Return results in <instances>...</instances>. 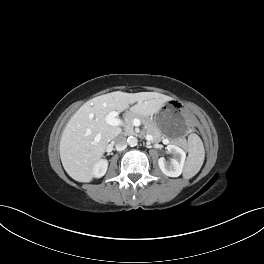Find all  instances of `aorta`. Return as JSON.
Here are the masks:
<instances>
[{"mask_svg":"<svg viewBox=\"0 0 264 264\" xmlns=\"http://www.w3.org/2000/svg\"><path fill=\"white\" fill-rule=\"evenodd\" d=\"M127 143L131 147L136 146L137 143H138V139L136 137H134V136H129L128 139H127Z\"/></svg>","mask_w":264,"mask_h":264,"instance_id":"1","label":"aorta"}]
</instances>
